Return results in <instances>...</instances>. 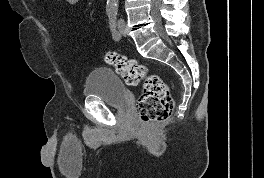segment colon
<instances>
[{
	"label": "colon",
	"mask_w": 264,
	"mask_h": 178,
	"mask_svg": "<svg viewBox=\"0 0 264 178\" xmlns=\"http://www.w3.org/2000/svg\"><path fill=\"white\" fill-rule=\"evenodd\" d=\"M107 64L129 85L143 83V90L136 103V112L144 123L161 122L168 119L174 102L167 84L161 77L150 74L147 66L117 52L104 55Z\"/></svg>",
	"instance_id": "colon-1"
}]
</instances>
